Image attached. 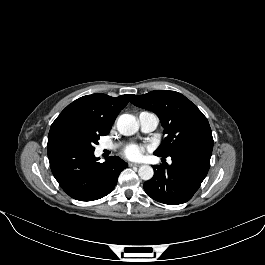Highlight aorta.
<instances>
[{
  "label": "aorta",
  "mask_w": 265,
  "mask_h": 265,
  "mask_svg": "<svg viewBox=\"0 0 265 265\" xmlns=\"http://www.w3.org/2000/svg\"><path fill=\"white\" fill-rule=\"evenodd\" d=\"M117 129L124 136H131L139 130V123L131 114H122L117 120ZM153 168L149 165H142L138 175L143 180H150L153 177Z\"/></svg>",
  "instance_id": "obj_1"
}]
</instances>
